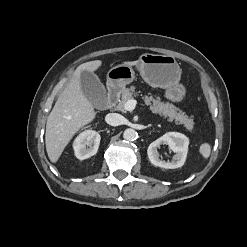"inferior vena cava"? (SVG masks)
<instances>
[{
	"instance_id": "1",
	"label": "inferior vena cava",
	"mask_w": 247,
	"mask_h": 247,
	"mask_svg": "<svg viewBox=\"0 0 247 247\" xmlns=\"http://www.w3.org/2000/svg\"><path fill=\"white\" fill-rule=\"evenodd\" d=\"M105 121L111 126H118L123 123V116L118 113H109L106 115Z\"/></svg>"
}]
</instances>
